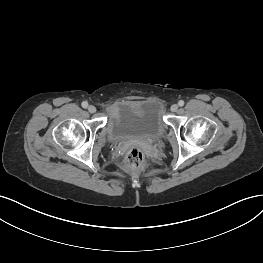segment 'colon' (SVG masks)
<instances>
[{
  "instance_id": "colon-1",
  "label": "colon",
  "mask_w": 263,
  "mask_h": 263,
  "mask_svg": "<svg viewBox=\"0 0 263 263\" xmlns=\"http://www.w3.org/2000/svg\"><path fill=\"white\" fill-rule=\"evenodd\" d=\"M145 161L144 151L138 146H131L124 157V168L129 171L138 170Z\"/></svg>"
}]
</instances>
